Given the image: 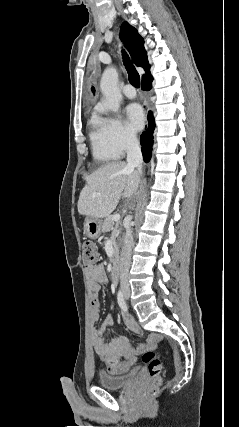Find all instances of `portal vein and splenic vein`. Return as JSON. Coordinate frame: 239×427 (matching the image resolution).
I'll return each instance as SVG.
<instances>
[{
    "mask_svg": "<svg viewBox=\"0 0 239 427\" xmlns=\"http://www.w3.org/2000/svg\"><path fill=\"white\" fill-rule=\"evenodd\" d=\"M112 220L118 222L120 220V215L116 214L112 216Z\"/></svg>",
    "mask_w": 239,
    "mask_h": 427,
    "instance_id": "1",
    "label": "portal vein and splenic vein"
}]
</instances>
